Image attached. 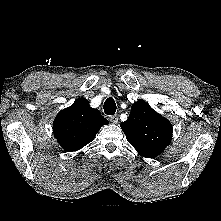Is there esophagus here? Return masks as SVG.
Returning a JSON list of instances; mask_svg holds the SVG:
<instances>
[{
	"label": "esophagus",
	"mask_w": 221,
	"mask_h": 221,
	"mask_svg": "<svg viewBox=\"0 0 221 221\" xmlns=\"http://www.w3.org/2000/svg\"><path fill=\"white\" fill-rule=\"evenodd\" d=\"M118 120H119V118H118V116L117 115H114V116H111L110 117V121L112 122V123H117L118 122Z\"/></svg>",
	"instance_id": "esophagus-1"
}]
</instances>
